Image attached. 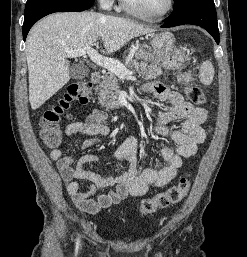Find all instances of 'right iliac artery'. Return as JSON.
<instances>
[{
  "label": "right iliac artery",
  "instance_id": "82829eb1",
  "mask_svg": "<svg viewBox=\"0 0 247 257\" xmlns=\"http://www.w3.org/2000/svg\"><path fill=\"white\" fill-rule=\"evenodd\" d=\"M78 248H79V238H77V241H76V252L78 251Z\"/></svg>",
  "mask_w": 247,
  "mask_h": 257
}]
</instances>
